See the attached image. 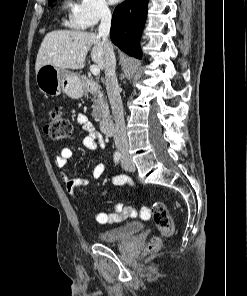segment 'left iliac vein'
<instances>
[{
  "instance_id": "4c4485c4",
  "label": "left iliac vein",
  "mask_w": 247,
  "mask_h": 296,
  "mask_svg": "<svg viewBox=\"0 0 247 296\" xmlns=\"http://www.w3.org/2000/svg\"><path fill=\"white\" fill-rule=\"evenodd\" d=\"M121 166L126 171H129V172L135 171V165L130 158H123V160L121 162Z\"/></svg>"
}]
</instances>
